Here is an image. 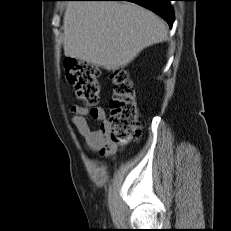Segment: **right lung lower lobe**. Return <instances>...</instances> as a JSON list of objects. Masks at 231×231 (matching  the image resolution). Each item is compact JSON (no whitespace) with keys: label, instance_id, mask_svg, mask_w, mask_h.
Listing matches in <instances>:
<instances>
[{"label":"right lung lower lobe","instance_id":"right-lung-lower-lobe-1","mask_svg":"<svg viewBox=\"0 0 231 231\" xmlns=\"http://www.w3.org/2000/svg\"><path fill=\"white\" fill-rule=\"evenodd\" d=\"M83 1H130L137 3L158 14L169 26L172 27L174 21L173 10L170 6L171 0H83Z\"/></svg>","mask_w":231,"mask_h":231}]
</instances>
